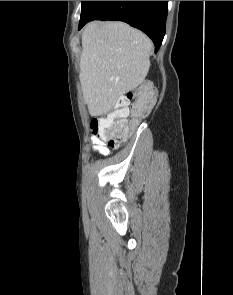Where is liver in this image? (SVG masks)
<instances>
[{"instance_id":"6515ba94","label":"liver","mask_w":233,"mask_h":295,"mask_svg":"<svg viewBox=\"0 0 233 295\" xmlns=\"http://www.w3.org/2000/svg\"><path fill=\"white\" fill-rule=\"evenodd\" d=\"M151 40L124 22L93 21L82 33L79 79L92 116L109 113L117 100L143 83Z\"/></svg>"}]
</instances>
